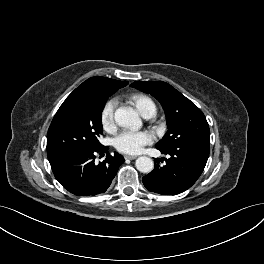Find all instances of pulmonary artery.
I'll return each instance as SVG.
<instances>
[{
  "mask_svg": "<svg viewBox=\"0 0 264 264\" xmlns=\"http://www.w3.org/2000/svg\"><path fill=\"white\" fill-rule=\"evenodd\" d=\"M154 114H150V115H148V116H146V118H150V117H152Z\"/></svg>",
  "mask_w": 264,
  "mask_h": 264,
  "instance_id": "e3ab8cb5",
  "label": "pulmonary artery"
}]
</instances>
